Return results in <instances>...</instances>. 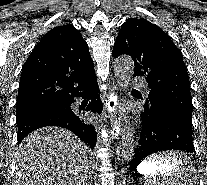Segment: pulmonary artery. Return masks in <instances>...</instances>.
<instances>
[{"label": "pulmonary artery", "instance_id": "obj_1", "mask_svg": "<svg viewBox=\"0 0 207 185\" xmlns=\"http://www.w3.org/2000/svg\"><path fill=\"white\" fill-rule=\"evenodd\" d=\"M131 85L132 86H143L144 85V82L143 81H139V78L138 77H133L132 78ZM144 89L145 90H148L147 87H145Z\"/></svg>", "mask_w": 207, "mask_h": 185}]
</instances>
